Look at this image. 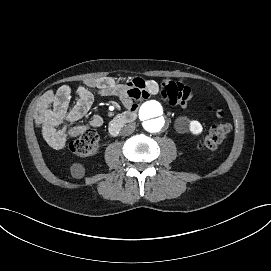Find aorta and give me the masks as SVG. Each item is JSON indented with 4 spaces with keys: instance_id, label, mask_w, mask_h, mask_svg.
I'll list each match as a JSON object with an SVG mask.
<instances>
[{
    "instance_id": "762f6f07",
    "label": "aorta",
    "mask_w": 271,
    "mask_h": 271,
    "mask_svg": "<svg viewBox=\"0 0 271 271\" xmlns=\"http://www.w3.org/2000/svg\"><path fill=\"white\" fill-rule=\"evenodd\" d=\"M138 117L144 129L150 133L163 130L169 119L166 108L155 100L144 102L139 107Z\"/></svg>"
}]
</instances>
